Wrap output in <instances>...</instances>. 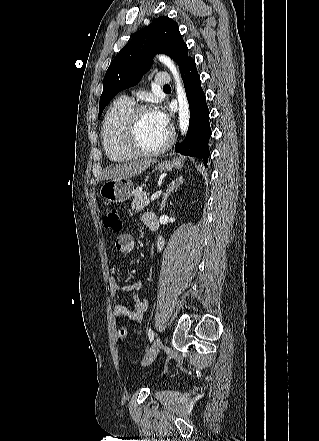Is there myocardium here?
Instances as JSON below:
<instances>
[{
  "label": "myocardium",
  "mask_w": 319,
  "mask_h": 441,
  "mask_svg": "<svg viewBox=\"0 0 319 441\" xmlns=\"http://www.w3.org/2000/svg\"><path fill=\"white\" fill-rule=\"evenodd\" d=\"M152 112V108L148 105H136L129 113L123 131V140L125 146L137 156H156L165 152L172 144L174 133L172 128H168V134L163 142L156 149L148 150L143 148L137 138V130L142 114Z\"/></svg>",
  "instance_id": "1"
}]
</instances>
